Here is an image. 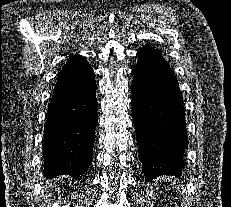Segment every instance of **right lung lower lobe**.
Listing matches in <instances>:
<instances>
[{
  "instance_id": "right-lung-lower-lobe-1",
  "label": "right lung lower lobe",
  "mask_w": 231,
  "mask_h": 207,
  "mask_svg": "<svg viewBox=\"0 0 231 207\" xmlns=\"http://www.w3.org/2000/svg\"><path fill=\"white\" fill-rule=\"evenodd\" d=\"M94 71L84 60L64 66L44 125V174L82 176L92 162L98 121Z\"/></svg>"
}]
</instances>
